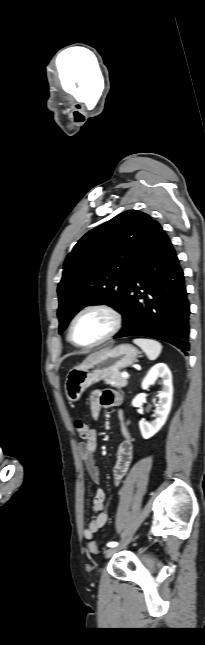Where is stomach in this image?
Instances as JSON below:
<instances>
[{
  "label": "stomach",
  "mask_w": 205,
  "mask_h": 645,
  "mask_svg": "<svg viewBox=\"0 0 205 645\" xmlns=\"http://www.w3.org/2000/svg\"><path fill=\"white\" fill-rule=\"evenodd\" d=\"M138 354L131 344H120L71 369L64 385L66 398L70 403L79 400L88 387L133 364Z\"/></svg>",
  "instance_id": "1"
}]
</instances>
